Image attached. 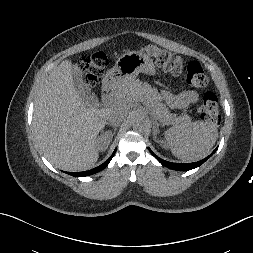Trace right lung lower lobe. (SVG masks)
<instances>
[{
	"mask_svg": "<svg viewBox=\"0 0 253 253\" xmlns=\"http://www.w3.org/2000/svg\"><path fill=\"white\" fill-rule=\"evenodd\" d=\"M115 152H116V150L113 152V154L111 155V157L107 161H105L102 165H100V166H98V167H96L94 169H91V170H88V171H84V172L68 173V174H70L72 176H75V177H80V176H88V175L97 173V172L103 170L109 164V162L113 158Z\"/></svg>",
	"mask_w": 253,
	"mask_h": 253,
	"instance_id": "98d812e1",
	"label": "right lung lower lobe"
}]
</instances>
